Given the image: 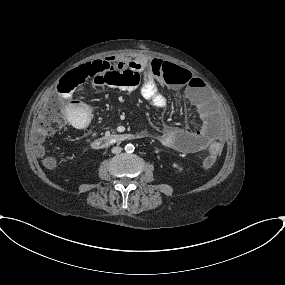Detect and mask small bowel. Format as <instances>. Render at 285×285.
Returning <instances> with one entry per match:
<instances>
[{
    "label": "small bowel",
    "mask_w": 285,
    "mask_h": 285,
    "mask_svg": "<svg viewBox=\"0 0 285 285\" xmlns=\"http://www.w3.org/2000/svg\"><path fill=\"white\" fill-rule=\"evenodd\" d=\"M109 61L112 62L114 59H109ZM120 62L123 67L128 66L144 72L145 81L141 88V94L145 99L155 107L165 108L169 105V99L162 95L155 86V81L163 75L165 65L163 60L143 58L137 60L123 59ZM165 81L171 90L184 91L186 97L192 103L200 125L197 130L193 131L171 125L165 126L157 135L161 143L168 148L188 153L198 152L214 145L222 148L220 133L209 121L201 99L199 78L188 71L184 77L171 75L166 77ZM66 115L69 124L74 128H79L83 120L90 119V109L88 104L82 100H71L66 105Z\"/></svg>",
    "instance_id": "1"
}]
</instances>
